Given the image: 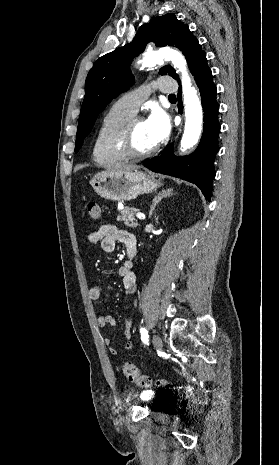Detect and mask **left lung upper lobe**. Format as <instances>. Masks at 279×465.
<instances>
[{"mask_svg":"<svg viewBox=\"0 0 279 465\" xmlns=\"http://www.w3.org/2000/svg\"><path fill=\"white\" fill-rule=\"evenodd\" d=\"M150 41L158 47L179 48L185 55L191 71L200 56L205 53L188 26L169 13L142 25L130 44L96 60L85 82V97L78 122L75 152L81 148L99 113L115 96L129 89L134 81L129 69L130 63L134 56L144 51ZM160 74L178 78L171 66L162 67Z\"/></svg>","mask_w":279,"mask_h":465,"instance_id":"obj_1","label":"left lung upper lobe"}]
</instances>
